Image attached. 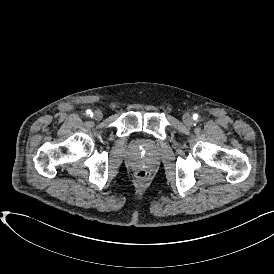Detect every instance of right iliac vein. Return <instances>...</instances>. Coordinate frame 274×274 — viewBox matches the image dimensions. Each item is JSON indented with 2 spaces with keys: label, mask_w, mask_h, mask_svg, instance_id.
<instances>
[{
  "label": "right iliac vein",
  "mask_w": 274,
  "mask_h": 274,
  "mask_svg": "<svg viewBox=\"0 0 274 274\" xmlns=\"http://www.w3.org/2000/svg\"><path fill=\"white\" fill-rule=\"evenodd\" d=\"M93 117L95 120L99 121L103 118V113L101 110H95L93 113Z\"/></svg>",
  "instance_id": "right-iliac-vein-1"
}]
</instances>
